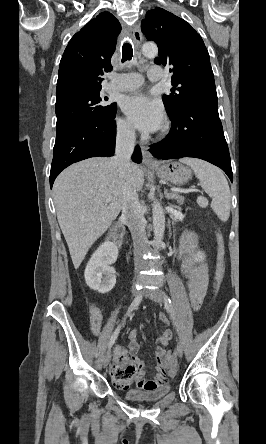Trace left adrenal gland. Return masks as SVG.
I'll list each match as a JSON object with an SVG mask.
<instances>
[{
    "label": "left adrenal gland",
    "mask_w": 266,
    "mask_h": 444,
    "mask_svg": "<svg viewBox=\"0 0 266 444\" xmlns=\"http://www.w3.org/2000/svg\"><path fill=\"white\" fill-rule=\"evenodd\" d=\"M164 194H165L166 199H168V200H170V199H174V200L177 201V203H178L179 205H181L182 202H183V198H182V197H180L179 195H177V194H175V193H170V192H168L167 189L164 190Z\"/></svg>",
    "instance_id": "a2214340"
}]
</instances>
